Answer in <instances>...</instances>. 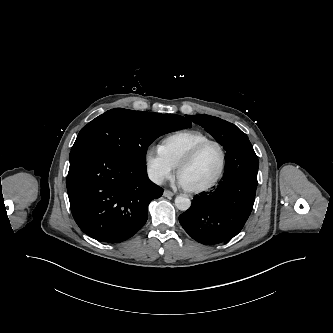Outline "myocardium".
Wrapping results in <instances>:
<instances>
[{
  "mask_svg": "<svg viewBox=\"0 0 333 333\" xmlns=\"http://www.w3.org/2000/svg\"><path fill=\"white\" fill-rule=\"evenodd\" d=\"M213 145L218 148L219 153H220V163L219 167L217 169V172L213 176V178L208 181L207 183L198 186V187H187L183 186L184 189L190 193H202L205 192L209 189H211L221 178L224 168H225V163H226V153L223 148V146L215 141V140H206L204 142L199 143L196 145L178 164L177 166V176L180 179V174L183 171L184 168H186L188 165H190L200 154V152L207 146Z\"/></svg>",
  "mask_w": 333,
  "mask_h": 333,
  "instance_id": "obj_1",
  "label": "myocardium"
}]
</instances>
